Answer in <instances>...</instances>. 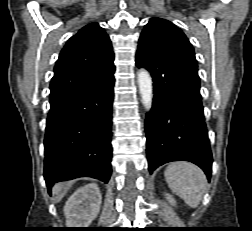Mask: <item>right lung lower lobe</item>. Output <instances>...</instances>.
<instances>
[{"label": "right lung lower lobe", "mask_w": 252, "mask_h": 231, "mask_svg": "<svg viewBox=\"0 0 252 231\" xmlns=\"http://www.w3.org/2000/svg\"><path fill=\"white\" fill-rule=\"evenodd\" d=\"M114 75L50 103L45 132L44 178L48 191L59 181L111 175Z\"/></svg>", "instance_id": "98d812e1"}]
</instances>
